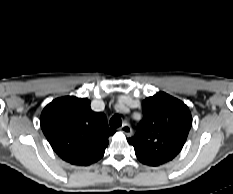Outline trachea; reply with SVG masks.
I'll list each match as a JSON object with an SVG mask.
<instances>
[{"label": "trachea", "mask_w": 233, "mask_h": 194, "mask_svg": "<svg viewBox=\"0 0 233 194\" xmlns=\"http://www.w3.org/2000/svg\"><path fill=\"white\" fill-rule=\"evenodd\" d=\"M122 125V119L120 117V115L116 114L114 116H112V118L110 119V127L111 128H118Z\"/></svg>", "instance_id": "trachea-1"}]
</instances>
